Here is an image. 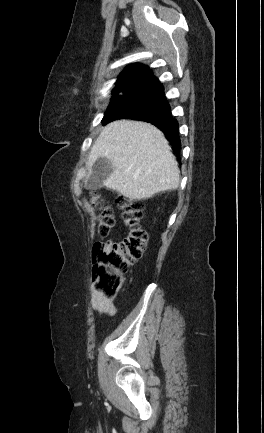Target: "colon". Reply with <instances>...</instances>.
<instances>
[{
  "label": "colon",
  "instance_id": "1",
  "mask_svg": "<svg viewBox=\"0 0 264 433\" xmlns=\"http://www.w3.org/2000/svg\"><path fill=\"white\" fill-rule=\"evenodd\" d=\"M93 206L99 209L98 233L107 237L115 226L113 209L98 196L92 198ZM117 205L123 213L128 233L121 241L102 240L92 250L93 278L101 294L114 299L130 266L139 260L147 246V232L142 225L143 204L138 200L119 197Z\"/></svg>",
  "mask_w": 264,
  "mask_h": 433
}]
</instances>
